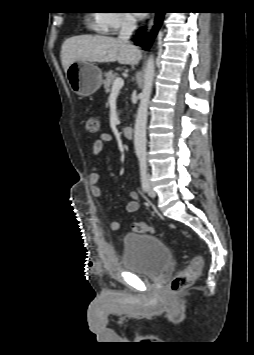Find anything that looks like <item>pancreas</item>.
<instances>
[{"instance_id": "pancreas-1", "label": "pancreas", "mask_w": 254, "mask_h": 355, "mask_svg": "<svg viewBox=\"0 0 254 355\" xmlns=\"http://www.w3.org/2000/svg\"><path fill=\"white\" fill-rule=\"evenodd\" d=\"M105 77L106 79L103 81V85L106 93H109L114 81L118 78V74L114 73L113 71H109L105 73Z\"/></svg>"}]
</instances>
